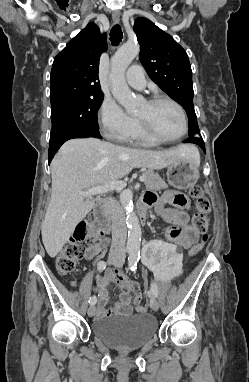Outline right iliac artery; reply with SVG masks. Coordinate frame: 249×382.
Wrapping results in <instances>:
<instances>
[{"instance_id":"right-iliac-artery-1","label":"right iliac artery","mask_w":249,"mask_h":382,"mask_svg":"<svg viewBox=\"0 0 249 382\" xmlns=\"http://www.w3.org/2000/svg\"><path fill=\"white\" fill-rule=\"evenodd\" d=\"M97 267L100 271H103L106 268V263L104 261H99L97 264ZM96 302H97L96 296L90 297V299H89L90 305H94Z\"/></svg>"}]
</instances>
